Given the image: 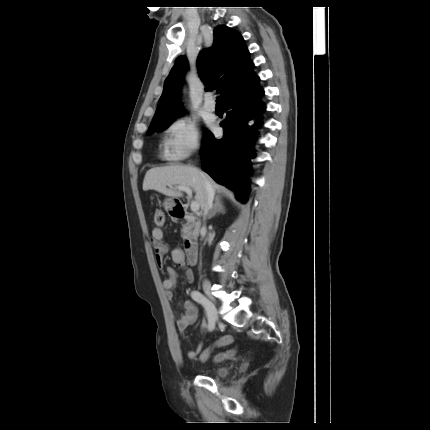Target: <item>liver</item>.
Wrapping results in <instances>:
<instances>
[{
	"label": "liver",
	"mask_w": 430,
	"mask_h": 430,
	"mask_svg": "<svg viewBox=\"0 0 430 430\" xmlns=\"http://www.w3.org/2000/svg\"><path fill=\"white\" fill-rule=\"evenodd\" d=\"M204 178H207L214 190L219 188L208 175L199 169L187 165H169L149 169L144 177L143 190H156L172 198L180 197V191L168 189L167 186H185L192 188L196 195L195 200L202 207L204 198Z\"/></svg>",
	"instance_id": "obj_1"
}]
</instances>
